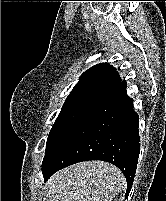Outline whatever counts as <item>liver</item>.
I'll list each match as a JSON object with an SVG mask.
<instances>
[{"label": "liver", "mask_w": 166, "mask_h": 201, "mask_svg": "<svg viewBox=\"0 0 166 201\" xmlns=\"http://www.w3.org/2000/svg\"><path fill=\"white\" fill-rule=\"evenodd\" d=\"M125 183L122 172L110 163L81 162L50 177L44 201H112Z\"/></svg>", "instance_id": "6515ba94"}]
</instances>
